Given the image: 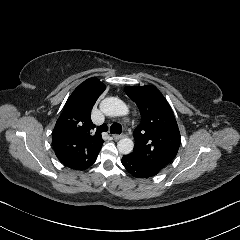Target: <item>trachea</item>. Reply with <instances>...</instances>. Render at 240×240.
I'll list each match as a JSON object with an SVG mask.
<instances>
[{
	"instance_id": "1",
	"label": "trachea",
	"mask_w": 240,
	"mask_h": 240,
	"mask_svg": "<svg viewBox=\"0 0 240 240\" xmlns=\"http://www.w3.org/2000/svg\"><path fill=\"white\" fill-rule=\"evenodd\" d=\"M122 132V126L121 124L115 122L110 127V133L111 134H121Z\"/></svg>"
}]
</instances>
